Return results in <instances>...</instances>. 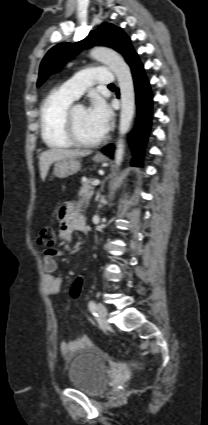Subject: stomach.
Segmentation results:
<instances>
[{
  "label": "stomach",
  "instance_id": "1",
  "mask_svg": "<svg viewBox=\"0 0 208 425\" xmlns=\"http://www.w3.org/2000/svg\"><path fill=\"white\" fill-rule=\"evenodd\" d=\"M97 163L103 162L104 158L94 157ZM81 169L80 162L76 159H61L56 161L53 173L58 178H66L76 174Z\"/></svg>",
  "mask_w": 208,
  "mask_h": 425
}]
</instances>
